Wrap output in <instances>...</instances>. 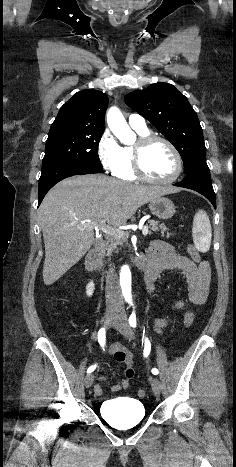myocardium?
Segmentation results:
<instances>
[{"instance_id":"myocardium-1","label":"myocardium","mask_w":236,"mask_h":467,"mask_svg":"<svg viewBox=\"0 0 236 467\" xmlns=\"http://www.w3.org/2000/svg\"><path fill=\"white\" fill-rule=\"evenodd\" d=\"M155 142H161L165 144L171 150V152L173 153L175 157L176 171L170 178H167V179L152 178L150 175L147 174V172L144 169V166H143L144 154L146 150L149 148V146ZM133 169L138 178L148 183L170 184V183L175 182L182 174L183 160L178 149L175 147V145L170 140L162 136L149 134L146 136H141L137 144L133 147Z\"/></svg>"}]
</instances>
